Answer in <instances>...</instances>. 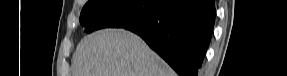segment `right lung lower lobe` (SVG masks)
Returning a JSON list of instances; mask_svg holds the SVG:
<instances>
[{"label": "right lung lower lobe", "instance_id": "1", "mask_svg": "<svg viewBox=\"0 0 287 76\" xmlns=\"http://www.w3.org/2000/svg\"><path fill=\"white\" fill-rule=\"evenodd\" d=\"M214 21V0H162L150 18L125 29L145 40L179 76H198Z\"/></svg>", "mask_w": 287, "mask_h": 76}]
</instances>
